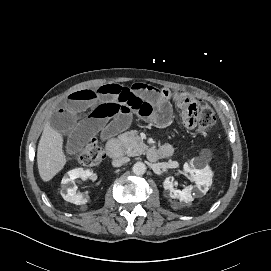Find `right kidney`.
Returning <instances> with one entry per match:
<instances>
[{
	"label": "right kidney",
	"mask_w": 271,
	"mask_h": 271,
	"mask_svg": "<svg viewBox=\"0 0 271 271\" xmlns=\"http://www.w3.org/2000/svg\"><path fill=\"white\" fill-rule=\"evenodd\" d=\"M93 175L92 170H84L83 168H75L67 172V176L62 179V192L61 195L64 200L71 202L76 205L86 204L88 201V196H84L81 193H76L77 186L74 184V180L77 178H82L84 180L88 179Z\"/></svg>",
	"instance_id": "1"
}]
</instances>
